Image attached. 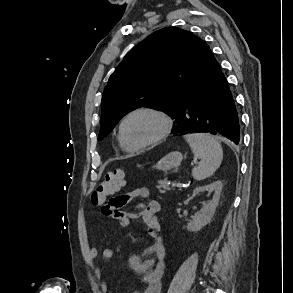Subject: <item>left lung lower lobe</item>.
<instances>
[{"label": "left lung lower lobe", "mask_w": 293, "mask_h": 293, "mask_svg": "<svg viewBox=\"0 0 293 293\" xmlns=\"http://www.w3.org/2000/svg\"><path fill=\"white\" fill-rule=\"evenodd\" d=\"M204 132L240 141L237 110L228 82L217 61L213 60L201 86L183 102L182 115L174 135Z\"/></svg>", "instance_id": "left-lung-lower-lobe-1"}]
</instances>
